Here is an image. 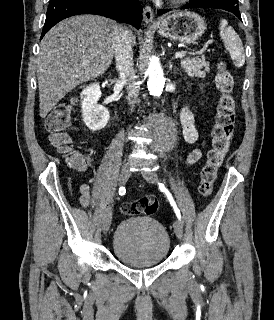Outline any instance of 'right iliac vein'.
Segmentation results:
<instances>
[{"instance_id":"obj_1","label":"right iliac vein","mask_w":274,"mask_h":320,"mask_svg":"<svg viewBox=\"0 0 274 320\" xmlns=\"http://www.w3.org/2000/svg\"><path fill=\"white\" fill-rule=\"evenodd\" d=\"M129 176H130L129 165L127 163L123 164L119 172L120 184H124L128 180ZM111 221H112V209L109 208L103 219L102 230L104 234L108 232L111 226Z\"/></svg>"}]
</instances>
